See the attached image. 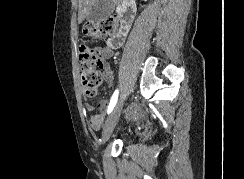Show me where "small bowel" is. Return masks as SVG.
Returning a JSON list of instances; mask_svg holds the SVG:
<instances>
[{"label":"small bowel","instance_id":"obj_1","mask_svg":"<svg viewBox=\"0 0 244 179\" xmlns=\"http://www.w3.org/2000/svg\"><path fill=\"white\" fill-rule=\"evenodd\" d=\"M123 41V37L117 35L112 38L106 46H98L95 48L96 54L102 63L101 68L103 78L109 84V86H112L113 84L114 71L106 61L113 56L114 50L119 48L122 45ZM99 106L101 110L100 114H94L89 119V126L94 130H98L101 127L106 109L108 107V103L106 100H102ZM86 109L89 112H93L94 106L90 103H86Z\"/></svg>","mask_w":244,"mask_h":179}]
</instances>
